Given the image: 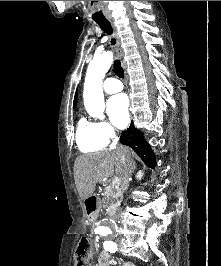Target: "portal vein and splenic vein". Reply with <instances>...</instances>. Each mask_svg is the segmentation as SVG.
Here are the masks:
<instances>
[{"label":"portal vein and splenic vein","instance_id":"18ae733b","mask_svg":"<svg viewBox=\"0 0 221 266\" xmlns=\"http://www.w3.org/2000/svg\"><path fill=\"white\" fill-rule=\"evenodd\" d=\"M121 179L119 177H114L112 180V186H119Z\"/></svg>","mask_w":221,"mask_h":266}]
</instances>
